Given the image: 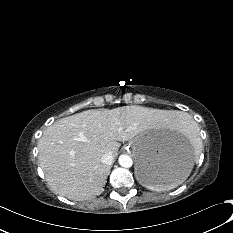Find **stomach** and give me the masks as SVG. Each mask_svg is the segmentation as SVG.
<instances>
[{
	"label": "stomach",
	"mask_w": 233,
	"mask_h": 233,
	"mask_svg": "<svg viewBox=\"0 0 233 233\" xmlns=\"http://www.w3.org/2000/svg\"><path fill=\"white\" fill-rule=\"evenodd\" d=\"M136 160L135 175L147 188L170 187L187 177L195 154L183 138L162 129H148L130 141Z\"/></svg>",
	"instance_id": "0dacf381"
}]
</instances>
